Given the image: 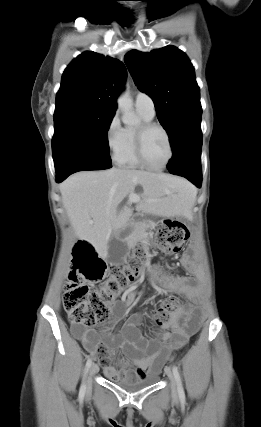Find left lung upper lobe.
<instances>
[{
	"label": "left lung upper lobe",
	"mask_w": 261,
	"mask_h": 427,
	"mask_svg": "<svg viewBox=\"0 0 261 427\" xmlns=\"http://www.w3.org/2000/svg\"><path fill=\"white\" fill-rule=\"evenodd\" d=\"M125 63L139 90L152 98L171 146L184 130L201 125L200 89L194 67L183 51L174 46L150 53L131 50Z\"/></svg>",
	"instance_id": "1"
}]
</instances>
